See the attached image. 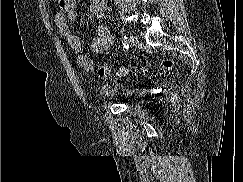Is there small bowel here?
<instances>
[{"label":"small bowel","instance_id":"c3829d8e","mask_svg":"<svg viewBox=\"0 0 243 182\" xmlns=\"http://www.w3.org/2000/svg\"><path fill=\"white\" fill-rule=\"evenodd\" d=\"M59 5L60 11L55 15V24L61 37L77 53V64L85 71L94 70V61L82 53L81 39L71 29V22L76 19L77 0H59ZM89 10L96 20H100L106 10V0H91ZM112 42L113 37L108 28L98 24L96 34L91 42V51L95 54H101Z\"/></svg>","mask_w":243,"mask_h":182}]
</instances>
